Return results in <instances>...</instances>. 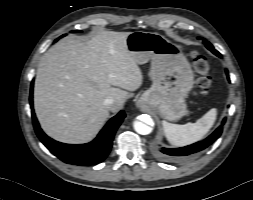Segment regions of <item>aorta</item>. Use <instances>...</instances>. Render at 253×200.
Returning a JSON list of instances; mask_svg holds the SVG:
<instances>
[{
	"label": "aorta",
	"instance_id": "obj_1",
	"mask_svg": "<svg viewBox=\"0 0 253 200\" xmlns=\"http://www.w3.org/2000/svg\"><path fill=\"white\" fill-rule=\"evenodd\" d=\"M134 130L141 135H148L152 132V128L140 121H135L133 124Z\"/></svg>",
	"mask_w": 253,
	"mask_h": 200
}]
</instances>
